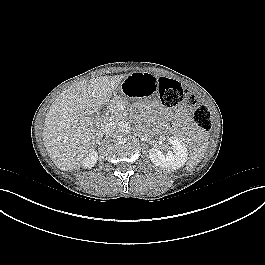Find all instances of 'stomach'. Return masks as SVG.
Segmentation results:
<instances>
[{
  "label": "stomach",
  "instance_id": "1",
  "mask_svg": "<svg viewBox=\"0 0 265 265\" xmlns=\"http://www.w3.org/2000/svg\"><path fill=\"white\" fill-rule=\"evenodd\" d=\"M156 77L149 73L135 72L119 87L120 93L128 99L138 100L150 96L156 89Z\"/></svg>",
  "mask_w": 265,
  "mask_h": 265
}]
</instances>
